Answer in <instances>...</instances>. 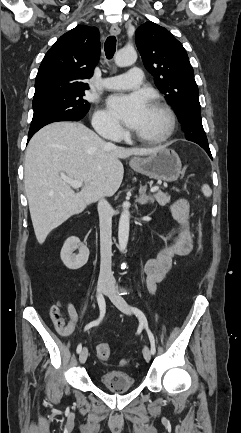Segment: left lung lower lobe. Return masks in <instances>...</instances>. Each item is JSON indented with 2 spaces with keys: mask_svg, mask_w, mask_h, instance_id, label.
<instances>
[{
  "mask_svg": "<svg viewBox=\"0 0 241 433\" xmlns=\"http://www.w3.org/2000/svg\"><path fill=\"white\" fill-rule=\"evenodd\" d=\"M202 148L205 149V151L208 153V155L212 158V155H211L209 147L204 146Z\"/></svg>",
  "mask_w": 241,
  "mask_h": 433,
  "instance_id": "0a47b994",
  "label": "left lung lower lobe"
}]
</instances>
